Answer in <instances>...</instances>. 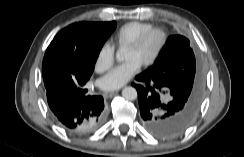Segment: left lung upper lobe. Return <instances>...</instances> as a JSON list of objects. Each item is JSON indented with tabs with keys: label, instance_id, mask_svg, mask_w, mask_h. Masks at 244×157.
<instances>
[{
	"label": "left lung upper lobe",
	"instance_id": "left-lung-upper-lobe-1",
	"mask_svg": "<svg viewBox=\"0 0 244 157\" xmlns=\"http://www.w3.org/2000/svg\"><path fill=\"white\" fill-rule=\"evenodd\" d=\"M141 74L158 78L172 93L200 105L203 82L190 42L184 36H170L154 64Z\"/></svg>",
	"mask_w": 244,
	"mask_h": 157
}]
</instances>
